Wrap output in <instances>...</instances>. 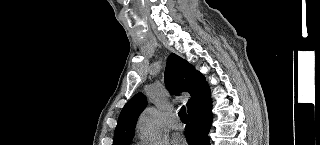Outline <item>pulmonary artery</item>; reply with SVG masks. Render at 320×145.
Here are the masks:
<instances>
[{"label": "pulmonary artery", "mask_w": 320, "mask_h": 145, "mask_svg": "<svg viewBox=\"0 0 320 145\" xmlns=\"http://www.w3.org/2000/svg\"><path fill=\"white\" fill-rule=\"evenodd\" d=\"M168 125L171 129L173 130H179L182 128V123L179 121L178 116L177 115H173L169 122Z\"/></svg>", "instance_id": "obj_1"}]
</instances>
